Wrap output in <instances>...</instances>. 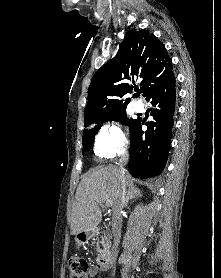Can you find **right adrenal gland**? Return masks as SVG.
I'll use <instances>...</instances> for the list:
<instances>
[{"mask_svg":"<svg viewBox=\"0 0 221 278\" xmlns=\"http://www.w3.org/2000/svg\"><path fill=\"white\" fill-rule=\"evenodd\" d=\"M139 197H141L140 191L129 189L126 193L125 205L127 206L129 200L137 199Z\"/></svg>","mask_w":221,"mask_h":278,"instance_id":"1","label":"right adrenal gland"}]
</instances>
